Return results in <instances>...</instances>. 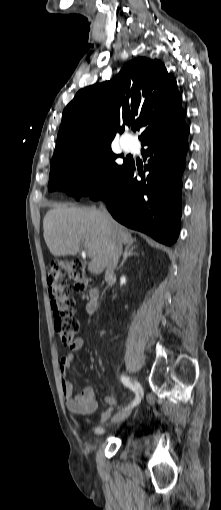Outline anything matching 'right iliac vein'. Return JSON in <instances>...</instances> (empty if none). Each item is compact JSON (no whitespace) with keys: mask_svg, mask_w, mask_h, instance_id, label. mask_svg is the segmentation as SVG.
<instances>
[{"mask_svg":"<svg viewBox=\"0 0 221 510\" xmlns=\"http://www.w3.org/2000/svg\"><path fill=\"white\" fill-rule=\"evenodd\" d=\"M130 413H131L130 409H125L123 411H120L112 417V422L120 423V422L124 421L130 415Z\"/></svg>","mask_w":221,"mask_h":510,"instance_id":"right-iliac-vein-1","label":"right iliac vein"}]
</instances>
